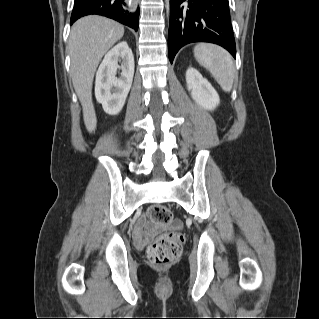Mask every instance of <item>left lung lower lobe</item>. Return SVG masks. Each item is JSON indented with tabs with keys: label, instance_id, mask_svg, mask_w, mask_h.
Returning a JSON list of instances; mask_svg holds the SVG:
<instances>
[{
	"label": "left lung lower lobe",
	"instance_id": "1",
	"mask_svg": "<svg viewBox=\"0 0 319 319\" xmlns=\"http://www.w3.org/2000/svg\"><path fill=\"white\" fill-rule=\"evenodd\" d=\"M193 42L218 44L236 58L228 0H170V62L181 47Z\"/></svg>",
	"mask_w": 319,
	"mask_h": 319
}]
</instances>
